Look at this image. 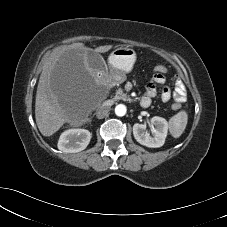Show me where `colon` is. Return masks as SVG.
Here are the masks:
<instances>
[{"label": "colon", "mask_w": 227, "mask_h": 227, "mask_svg": "<svg viewBox=\"0 0 227 227\" xmlns=\"http://www.w3.org/2000/svg\"><path fill=\"white\" fill-rule=\"evenodd\" d=\"M154 74L155 73H158V74H163L167 71V68L164 66V65H157L155 68H154ZM173 108L174 109H179L180 108V104L179 103H175L173 104Z\"/></svg>", "instance_id": "obj_1"}]
</instances>
